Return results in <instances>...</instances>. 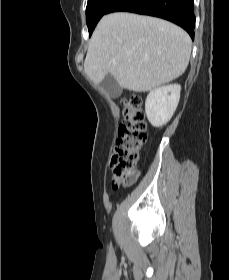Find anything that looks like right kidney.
I'll use <instances>...</instances> for the list:
<instances>
[{
	"mask_svg": "<svg viewBox=\"0 0 229 280\" xmlns=\"http://www.w3.org/2000/svg\"><path fill=\"white\" fill-rule=\"evenodd\" d=\"M180 91L178 84L150 91L145 102V113L152 126L161 127L171 119L179 103Z\"/></svg>",
	"mask_w": 229,
	"mask_h": 280,
	"instance_id": "ca27d5eb",
	"label": "right kidney"
}]
</instances>
